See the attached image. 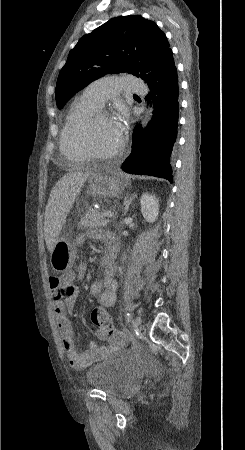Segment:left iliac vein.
<instances>
[{
	"instance_id": "4c4485c4",
	"label": "left iliac vein",
	"mask_w": 245,
	"mask_h": 450,
	"mask_svg": "<svg viewBox=\"0 0 245 450\" xmlns=\"http://www.w3.org/2000/svg\"><path fill=\"white\" fill-rule=\"evenodd\" d=\"M141 323H142L141 317H140V316H137V317L135 318V328L138 329L139 326L141 325Z\"/></svg>"
}]
</instances>
